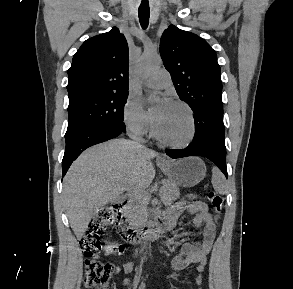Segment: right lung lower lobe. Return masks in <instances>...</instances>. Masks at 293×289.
Here are the masks:
<instances>
[{"instance_id":"1","label":"right lung lower lobe","mask_w":293,"mask_h":289,"mask_svg":"<svg viewBox=\"0 0 293 289\" xmlns=\"http://www.w3.org/2000/svg\"><path fill=\"white\" fill-rule=\"evenodd\" d=\"M125 133L123 121L100 124L80 131L66 139L62 160L63 176L72 162L88 147L115 138Z\"/></svg>"}]
</instances>
